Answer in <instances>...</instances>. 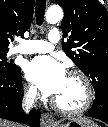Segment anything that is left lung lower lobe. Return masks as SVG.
<instances>
[{"mask_svg": "<svg viewBox=\"0 0 108 127\" xmlns=\"http://www.w3.org/2000/svg\"><path fill=\"white\" fill-rule=\"evenodd\" d=\"M86 115L108 124V98H95L92 108L86 112Z\"/></svg>", "mask_w": 108, "mask_h": 127, "instance_id": "0a47b994", "label": "left lung lower lobe"}]
</instances>
